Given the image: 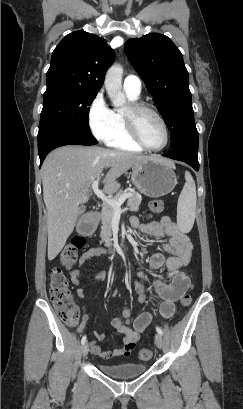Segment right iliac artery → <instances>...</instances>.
<instances>
[{
  "mask_svg": "<svg viewBox=\"0 0 243 409\" xmlns=\"http://www.w3.org/2000/svg\"><path fill=\"white\" fill-rule=\"evenodd\" d=\"M85 342H86V335H84V336L82 337V340H81L82 345H84Z\"/></svg>",
  "mask_w": 243,
  "mask_h": 409,
  "instance_id": "right-iliac-artery-1",
  "label": "right iliac artery"
}]
</instances>
